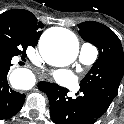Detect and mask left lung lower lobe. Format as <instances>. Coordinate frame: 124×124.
I'll return each instance as SVG.
<instances>
[{
  "label": "left lung lower lobe",
  "mask_w": 124,
  "mask_h": 124,
  "mask_svg": "<svg viewBox=\"0 0 124 124\" xmlns=\"http://www.w3.org/2000/svg\"><path fill=\"white\" fill-rule=\"evenodd\" d=\"M38 88L47 94L50 115L56 124H93L108 109L98 99L84 92L72 99L67 96L68 89L54 83L40 82Z\"/></svg>",
  "instance_id": "left-lung-lower-lobe-1"
}]
</instances>
